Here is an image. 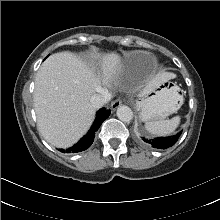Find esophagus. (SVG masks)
<instances>
[{
  "label": "esophagus",
  "mask_w": 220,
  "mask_h": 220,
  "mask_svg": "<svg viewBox=\"0 0 220 220\" xmlns=\"http://www.w3.org/2000/svg\"><path fill=\"white\" fill-rule=\"evenodd\" d=\"M122 101L120 99H116L111 103V109L115 110L121 105Z\"/></svg>",
  "instance_id": "obj_1"
}]
</instances>
